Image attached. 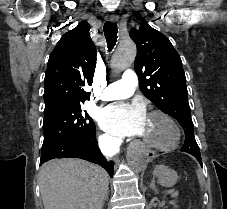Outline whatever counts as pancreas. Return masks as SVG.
I'll return each instance as SVG.
<instances>
[{"label": "pancreas", "instance_id": "1", "mask_svg": "<svg viewBox=\"0 0 227 209\" xmlns=\"http://www.w3.org/2000/svg\"><path fill=\"white\" fill-rule=\"evenodd\" d=\"M171 205V207L173 206L172 204H174L176 201L174 200V199H170L169 201H168ZM171 209H177L175 206H173Z\"/></svg>", "mask_w": 227, "mask_h": 209}]
</instances>
